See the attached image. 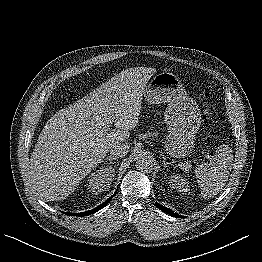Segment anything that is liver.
<instances>
[{
	"label": "liver",
	"mask_w": 262,
	"mask_h": 262,
	"mask_svg": "<svg viewBox=\"0 0 262 262\" xmlns=\"http://www.w3.org/2000/svg\"><path fill=\"white\" fill-rule=\"evenodd\" d=\"M154 68H129L51 117L30 159L29 180L46 201L68 197L110 147L126 141L141 111L145 86ZM112 120L117 130L105 129Z\"/></svg>",
	"instance_id": "obj_1"
}]
</instances>
